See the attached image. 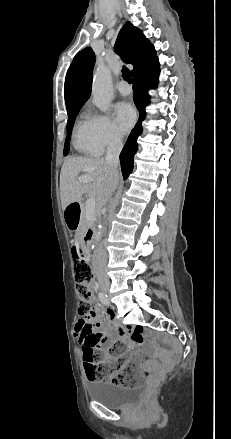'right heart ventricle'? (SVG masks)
<instances>
[{
	"label": "right heart ventricle",
	"instance_id": "e07e8e85",
	"mask_svg": "<svg viewBox=\"0 0 231 439\" xmlns=\"http://www.w3.org/2000/svg\"><path fill=\"white\" fill-rule=\"evenodd\" d=\"M73 144L75 149L82 154H99L89 138L88 117L86 115H82L75 126Z\"/></svg>",
	"mask_w": 231,
	"mask_h": 439
}]
</instances>
